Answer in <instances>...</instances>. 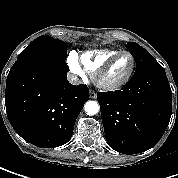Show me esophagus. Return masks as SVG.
I'll list each match as a JSON object with an SVG mask.
<instances>
[{
  "label": "esophagus",
  "instance_id": "34e87169",
  "mask_svg": "<svg viewBox=\"0 0 178 178\" xmlns=\"http://www.w3.org/2000/svg\"><path fill=\"white\" fill-rule=\"evenodd\" d=\"M89 97H90L91 99H96V98H97L96 92L93 91V90H91V91L89 92Z\"/></svg>",
  "mask_w": 178,
  "mask_h": 178
}]
</instances>
